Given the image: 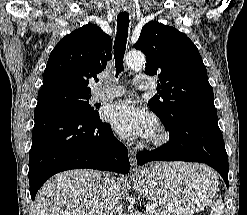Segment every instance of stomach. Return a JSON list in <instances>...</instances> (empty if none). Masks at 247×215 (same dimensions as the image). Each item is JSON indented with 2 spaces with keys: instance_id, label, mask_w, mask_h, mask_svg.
I'll use <instances>...</instances> for the list:
<instances>
[{
  "instance_id": "1",
  "label": "stomach",
  "mask_w": 247,
  "mask_h": 215,
  "mask_svg": "<svg viewBox=\"0 0 247 215\" xmlns=\"http://www.w3.org/2000/svg\"><path fill=\"white\" fill-rule=\"evenodd\" d=\"M208 169L199 164L156 163L140 173L135 188L171 215H193L216 192L217 178Z\"/></svg>"
}]
</instances>
